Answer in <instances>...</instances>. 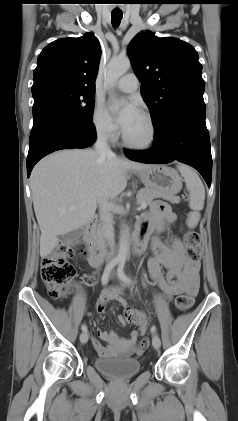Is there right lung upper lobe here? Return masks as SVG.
<instances>
[{
    "label": "right lung upper lobe",
    "mask_w": 238,
    "mask_h": 421,
    "mask_svg": "<svg viewBox=\"0 0 238 421\" xmlns=\"http://www.w3.org/2000/svg\"><path fill=\"white\" fill-rule=\"evenodd\" d=\"M100 56V43L93 33L58 39L39 54L33 86L58 82L95 90Z\"/></svg>",
    "instance_id": "1"
}]
</instances>
